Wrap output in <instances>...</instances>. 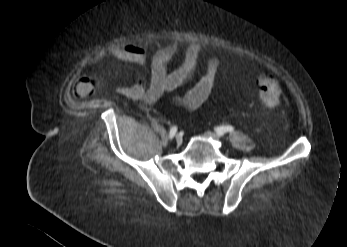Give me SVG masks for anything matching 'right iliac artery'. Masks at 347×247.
Here are the masks:
<instances>
[{
    "mask_svg": "<svg viewBox=\"0 0 347 247\" xmlns=\"http://www.w3.org/2000/svg\"><path fill=\"white\" fill-rule=\"evenodd\" d=\"M177 132V127L176 126H173L171 129H170V132H169V138L172 139L175 134Z\"/></svg>",
    "mask_w": 347,
    "mask_h": 247,
    "instance_id": "right-iliac-artery-1",
    "label": "right iliac artery"
}]
</instances>
